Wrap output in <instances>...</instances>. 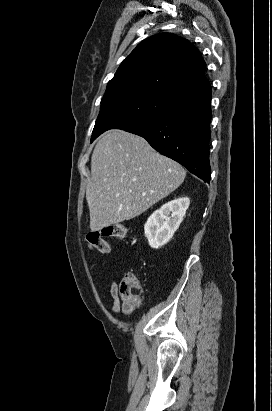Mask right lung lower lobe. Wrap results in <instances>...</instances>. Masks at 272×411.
<instances>
[{"instance_id":"1","label":"right lung lower lobe","mask_w":272,"mask_h":411,"mask_svg":"<svg viewBox=\"0 0 272 411\" xmlns=\"http://www.w3.org/2000/svg\"><path fill=\"white\" fill-rule=\"evenodd\" d=\"M210 101L211 94L125 131L145 138L155 150L209 183Z\"/></svg>"}]
</instances>
